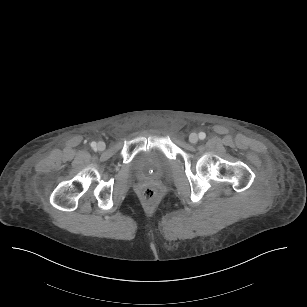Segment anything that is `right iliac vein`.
<instances>
[{"mask_svg": "<svg viewBox=\"0 0 307 307\" xmlns=\"http://www.w3.org/2000/svg\"><path fill=\"white\" fill-rule=\"evenodd\" d=\"M97 148L98 150L102 151L106 148V145L103 141H100L98 144H97Z\"/></svg>", "mask_w": 307, "mask_h": 307, "instance_id": "obj_1", "label": "right iliac vein"}]
</instances>
